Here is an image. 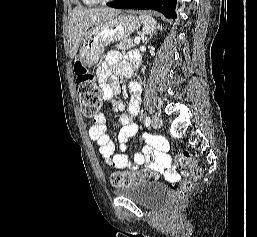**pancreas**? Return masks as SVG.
<instances>
[{
  "mask_svg": "<svg viewBox=\"0 0 257 237\" xmlns=\"http://www.w3.org/2000/svg\"><path fill=\"white\" fill-rule=\"evenodd\" d=\"M135 45L136 44L133 39H125L116 44L115 47L116 49H120L123 51V53H125L126 50L132 49Z\"/></svg>",
  "mask_w": 257,
  "mask_h": 237,
  "instance_id": "obj_1",
  "label": "pancreas"
}]
</instances>
